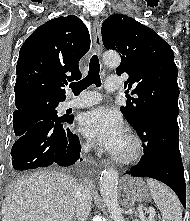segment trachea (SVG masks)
<instances>
[{
	"label": "trachea",
	"instance_id": "1",
	"mask_svg": "<svg viewBox=\"0 0 190 221\" xmlns=\"http://www.w3.org/2000/svg\"><path fill=\"white\" fill-rule=\"evenodd\" d=\"M100 64L97 55H93L90 59L88 75L78 82L71 83L69 87L75 95H79L81 91L87 89L91 84L97 87L101 86L100 80Z\"/></svg>",
	"mask_w": 190,
	"mask_h": 221
}]
</instances>
